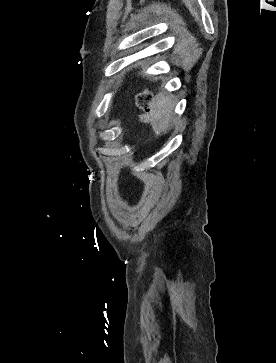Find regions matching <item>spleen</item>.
<instances>
[{"label": "spleen", "mask_w": 276, "mask_h": 363, "mask_svg": "<svg viewBox=\"0 0 276 363\" xmlns=\"http://www.w3.org/2000/svg\"><path fill=\"white\" fill-rule=\"evenodd\" d=\"M173 96L159 93L150 104V121L156 135L166 133L170 129L173 118Z\"/></svg>", "instance_id": "obj_1"}]
</instances>
